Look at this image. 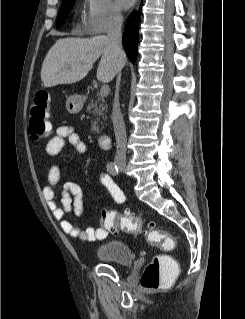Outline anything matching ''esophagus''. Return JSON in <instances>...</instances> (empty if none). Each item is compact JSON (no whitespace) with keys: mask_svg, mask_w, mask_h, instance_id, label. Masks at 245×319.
I'll list each match as a JSON object with an SVG mask.
<instances>
[{"mask_svg":"<svg viewBox=\"0 0 245 319\" xmlns=\"http://www.w3.org/2000/svg\"><path fill=\"white\" fill-rule=\"evenodd\" d=\"M139 4H140V0H137L136 7H135L136 10L138 9Z\"/></svg>","mask_w":245,"mask_h":319,"instance_id":"1","label":"esophagus"}]
</instances>
